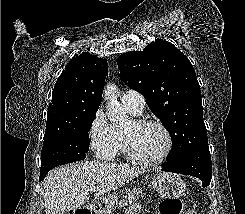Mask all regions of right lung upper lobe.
Wrapping results in <instances>:
<instances>
[{"instance_id": "1", "label": "right lung upper lobe", "mask_w": 245, "mask_h": 214, "mask_svg": "<svg viewBox=\"0 0 245 214\" xmlns=\"http://www.w3.org/2000/svg\"><path fill=\"white\" fill-rule=\"evenodd\" d=\"M107 73L106 59L88 52L74 56L53 89L45 134L73 127L83 115L97 111Z\"/></svg>"}]
</instances>
